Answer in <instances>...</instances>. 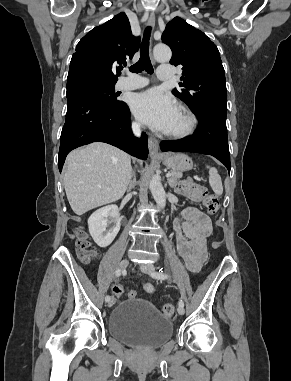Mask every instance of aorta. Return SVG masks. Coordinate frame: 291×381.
<instances>
[{
    "mask_svg": "<svg viewBox=\"0 0 291 381\" xmlns=\"http://www.w3.org/2000/svg\"><path fill=\"white\" fill-rule=\"evenodd\" d=\"M153 54L158 61H168L171 58V50L164 44L156 45L153 49ZM149 188L157 205L163 209L166 205V195L161 181L153 176L150 180Z\"/></svg>",
    "mask_w": 291,
    "mask_h": 381,
    "instance_id": "1",
    "label": "aorta"
}]
</instances>
